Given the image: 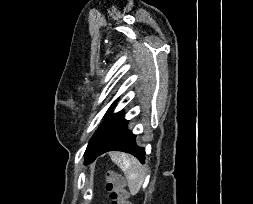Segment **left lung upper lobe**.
<instances>
[{"label": "left lung upper lobe", "instance_id": "obj_1", "mask_svg": "<svg viewBox=\"0 0 253 204\" xmlns=\"http://www.w3.org/2000/svg\"><path fill=\"white\" fill-rule=\"evenodd\" d=\"M117 102V100L112 104V106L109 108V109H111L113 106H114V104Z\"/></svg>", "mask_w": 253, "mask_h": 204}]
</instances>
